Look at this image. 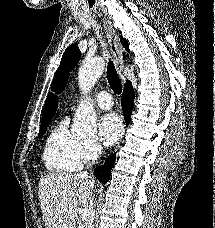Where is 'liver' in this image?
Returning <instances> with one entry per match:
<instances>
[{"label":"liver","mask_w":215,"mask_h":228,"mask_svg":"<svg viewBox=\"0 0 215 228\" xmlns=\"http://www.w3.org/2000/svg\"><path fill=\"white\" fill-rule=\"evenodd\" d=\"M95 184L85 174L49 172L41 176L38 198L46 228H76L78 206L89 208Z\"/></svg>","instance_id":"1"}]
</instances>
